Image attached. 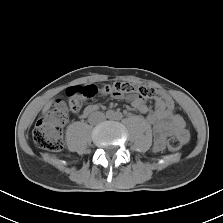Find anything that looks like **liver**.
I'll return each instance as SVG.
<instances>
[{"instance_id":"liver-1","label":"liver","mask_w":223,"mask_h":223,"mask_svg":"<svg viewBox=\"0 0 223 223\" xmlns=\"http://www.w3.org/2000/svg\"><path fill=\"white\" fill-rule=\"evenodd\" d=\"M51 104H52V101L48 102V103L45 105V107L43 108V113H45V112L50 108Z\"/></svg>"}]
</instances>
